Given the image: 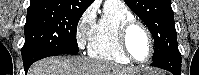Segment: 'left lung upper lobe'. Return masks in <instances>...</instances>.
I'll list each match as a JSON object with an SVG mask.
<instances>
[{"label": "left lung upper lobe", "instance_id": "1", "mask_svg": "<svg viewBox=\"0 0 199 75\" xmlns=\"http://www.w3.org/2000/svg\"><path fill=\"white\" fill-rule=\"evenodd\" d=\"M124 1L144 21L153 36L155 49L152 62L179 51L171 0Z\"/></svg>", "mask_w": 199, "mask_h": 75}]
</instances>
